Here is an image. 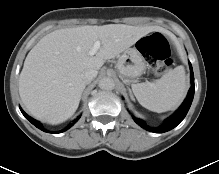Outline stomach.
I'll return each mask as SVG.
<instances>
[{
  "label": "stomach",
  "mask_w": 219,
  "mask_h": 174,
  "mask_svg": "<svg viewBox=\"0 0 219 174\" xmlns=\"http://www.w3.org/2000/svg\"><path fill=\"white\" fill-rule=\"evenodd\" d=\"M116 68L120 78L124 82H131L144 73L146 63L139 50L133 47L126 49L124 53L119 56Z\"/></svg>",
  "instance_id": "0dacf381"
}]
</instances>
